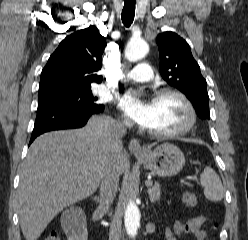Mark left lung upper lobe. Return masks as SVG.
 <instances>
[{"label": "left lung upper lobe", "instance_id": "1", "mask_svg": "<svg viewBox=\"0 0 248 240\" xmlns=\"http://www.w3.org/2000/svg\"><path fill=\"white\" fill-rule=\"evenodd\" d=\"M156 42L160 54L159 71L163 79L186 95L201 119H209L207 82L188 43L170 31L159 34Z\"/></svg>", "mask_w": 248, "mask_h": 240}]
</instances>
